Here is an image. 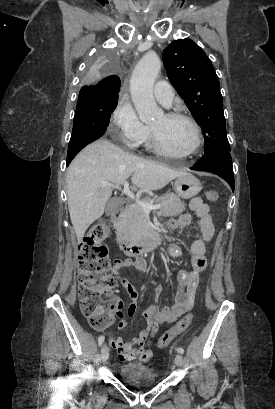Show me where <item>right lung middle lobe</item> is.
<instances>
[{
  "label": "right lung middle lobe",
  "mask_w": 275,
  "mask_h": 409,
  "mask_svg": "<svg viewBox=\"0 0 275 409\" xmlns=\"http://www.w3.org/2000/svg\"><path fill=\"white\" fill-rule=\"evenodd\" d=\"M118 56V50H93L82 84L100 85L101 79L108 78V73H119L121 60ZM117 102L118 97L100 98L79 94L68 146L67 166L79 151L105 133Z\"/></svg>",
  "instance_id": "right-lung-middle-lobe-1"
}]
</instances>
